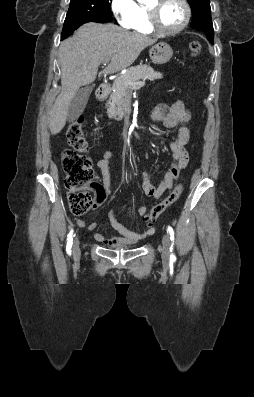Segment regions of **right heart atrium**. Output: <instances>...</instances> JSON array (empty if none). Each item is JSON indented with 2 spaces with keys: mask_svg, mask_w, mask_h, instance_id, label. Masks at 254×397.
Returning a JSON list of instances; mask_svg holds the SVG:
<instances>
[{
  "mask_svg": "<svg viewBox=\"0 0 254 397\" xmlns=\"http://www.w3.org/2000/svg\"><path fill=\"white\" fill-rule=\"evenodd\" d=\"M111 10L124 28H132L138 18L139 8L135 0H111Z\"/></svg>",
  "mask_w": 254,
  "mask_h": 397,
  "instance_id": "d8ad5b80",
  "label": "right heart atrium"
}]
</instances>
